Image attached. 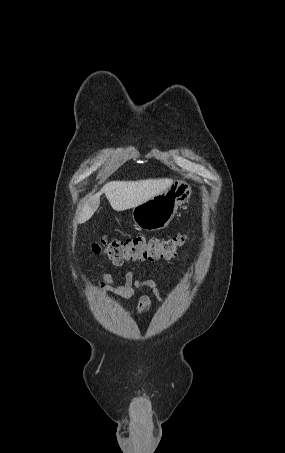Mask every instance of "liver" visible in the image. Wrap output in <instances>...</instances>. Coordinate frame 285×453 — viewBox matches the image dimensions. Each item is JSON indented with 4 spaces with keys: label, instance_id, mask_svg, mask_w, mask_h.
Segmentation results:
<instances>
[{
    "label": "liver",
    "instance_id": "1",
    "mask_svg": "<svg viewBox=\"0 0 285 453\" xmlns=\"http://www.w3.org/2000/svg\"><path fill=\"white\" fill-rule=\"evenodd\" d=\"M172 179H147L139 181H111L88 199L79 213L78 223L88 221L100 205V196L105 193L115 211H124L146 202L166 191Z\"/></svg>",
    "mask_w": 285,
    "mask_h": 453
}]
</instances>
